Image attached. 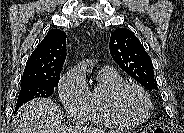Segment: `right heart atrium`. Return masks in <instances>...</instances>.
<instances>
[{
    "instance_id": "right-heart-atrium-1",
    "label": "right heart atrium",
    "mask_w": 184,
    "mask_h": 133,
    "mask_svg": "<svg viewBox=\"0 0 184 133\" xmlns=\"http://www.w3.org/2000/svg\"><path fill=\"white\" fill-rule=\"evenodd\" d=\"M58 94L66 113L72 119H87L90 110V90L78 68H72L62 76L58 84Z\"/></svg>"
}]
</instances>
